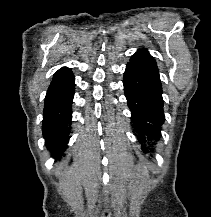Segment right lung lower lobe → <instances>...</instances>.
<instances>
[{
    "mask_svg": "<svg viewBox=\"0 0 211 217\" xmlns=\"http://www.w3.org/2000/svg\"><path fill=\"white\" fill-rule=\"evenodd\" d=\"M75 78L52 83L45 97L42 131L45 145L51 155L61 158L64 155L72 119Z\"/></svg>",
    "mask_w": 211,
    "mask_h": 217,
    "instance_id": "right-lung-lower-lobe-1",
    "label": "right lung lower lobe"
}]
</instances>
